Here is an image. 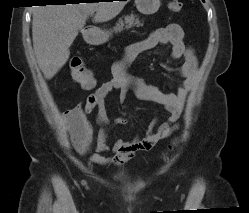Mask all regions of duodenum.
Segmentation results:
<instances>
[{"label": "duodenum", "instance_id": "410a0bca", "mask_svg": "<svg viewBox=\"0 0 249 213\" xmlns=\"http://www.w3.org/2000/svg\"><path fill=\"white\" fill-rule=\"evenodd\" d=\"M94 32H95V30L93 28L87 29V40L89 43L95 42Z\"/></svg>", "mask_w": 249, "mask_h": 213}]
</instances>
